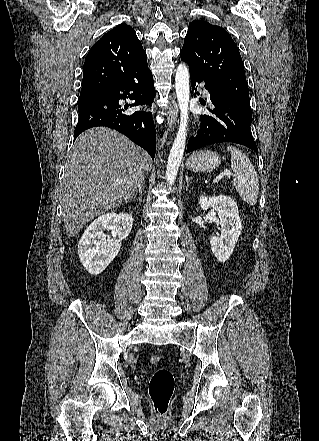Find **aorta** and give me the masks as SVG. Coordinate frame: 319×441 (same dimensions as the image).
<instances>
[{
  "instance_id": "762f6f07",
  "label": "aorta",
  "mask_w": 319,
  "mask_h": 441,
  "mask_svg": "<svg viewBox=\"0 0 319 441\" xmlns=\"http://www.w3.org/2000/svg\"><path fill=\"white\" fill-rule=\"evenodd\" d=\"M175 88L180 108V126L172 145L166 167V181L170 186L173 185L176 180L186 143L190 95L189 70L187 65L184 63L179 64L177 67L175 75Z\"/></svg>"
}]
</instances>
